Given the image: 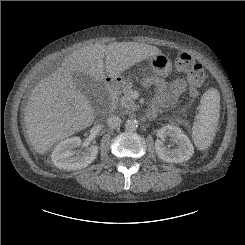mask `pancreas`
Wrapping results in <instances>:
<instances>
[{
	"label": "pancreas",
	"instance_id": "obj_1",
	"mask_svg": "<svg viewBox=\"0 0 245 245\" xmlns=\"http://www.w3.org/2000/svg\"><path fill=\"white\" fill-rule=\"evenodd\" d=\"M120 93H122V95L117 100L120 111L124 114L135 111L137 105L131 97L132 83H128Z\"/></svg>",
	"mask_w": 245,
	"mask_h": 245
}]
</instances>
